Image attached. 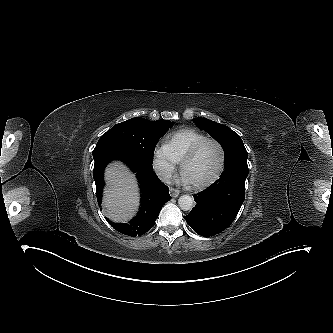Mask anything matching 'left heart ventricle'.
Here are the masks:
<instances>
[{
	"instance_id": "1",
	"label": "left heart ventricle",
	"mask_w": 333,
	"mask_h": 333,
	"mask_svg": "<svg viewBox=\"0 0 333 333\" xmlns=\"http://www.w3.org/2000/svg\"><path fill=\"white\" fill-rule=\"evenodd\" d=\"M219 160L220 152L217 145L213 142H207L197 155L186 164L184 173L191 183L205 181L216 172Z\"/></svg>"
}]
</instances>
